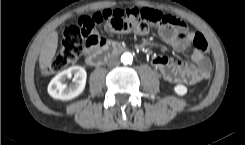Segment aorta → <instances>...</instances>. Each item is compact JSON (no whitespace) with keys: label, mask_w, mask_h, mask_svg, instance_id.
<instances>
[{"label":"aorta","mask_w":245,"mask_h":145,"mask_svg":"<svg viewBox=\"0 0 245 145\" xmlns=\"http://www.w3.org/2000/svg\"><path fill=\"white\" fill-rule=\"evenodd\" d=\"M132 61H133V56L129 52H125L121 56V62L124 63V64H132Z\"/></svg>","instance_id":"aorta-1"}]
</instances>
